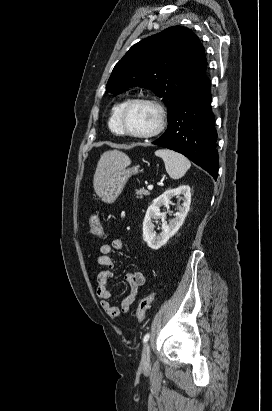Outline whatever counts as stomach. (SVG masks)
<instances>
[{
    "label": "stomach",
    "instance_id": "stomach-1",
    "mask_svg": "<svg viewBox=\"0 0 272 411\" xmlns=\"http://www.w3.org/2000/svg\"><path fill=\"white\" fill-rule=\"evenodd\" d=\"M129 165L130 163L115 171L108 178L100 195L103 202L108 204L114 203L122 193L128 179L140 171L139 166L128 167Z\"/></svg>",
    "mask_w": 272,
    "mask_h": 411
}]
</instances>
